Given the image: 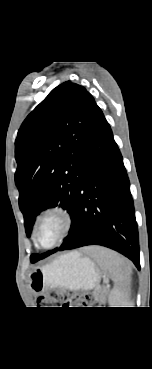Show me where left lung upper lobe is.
I'll list each match as a JSON object with an SVG mask.
<instances>
[{
	"label": "left lung upper lobe",
	"mask_w": 152,
	"mask_h": 369,
	"mask_svg": "<svg viewBox=\"0 0 152 369\" xmlns=\"http://www.w3.org/2000/svg\"><path fill=\"white\" fill-rule=\"evenodd\" d=\"M100 111L84 87L66 81L22 123L15 141V182L28 237L35 217L49 207L66 209L73 223L76 192L83 176L82 157ZM56 250L32 255L31 262Z\"/></svg>",
	"instance_id": "5c2ea615"
}]
</instances>
